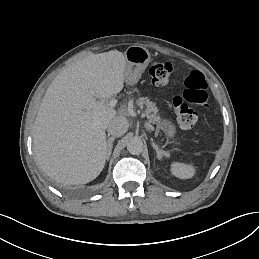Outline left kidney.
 <instances>
[{
  "label": "left kidney",
  "mask_w": 259,
  "mask_h": 259,
  "mask_svg": "<svg viewBox=\"0 0 259 259\" xmlns=\"http://www.w3.org/2000/svg\"><path fill=\"white\" fill-rule=\"evenodd\" d=\"M171 173L180 179L192 178L195 174V168L192 165L173 162L171 164Z\"/></svg>",
  "instance_id": "1"
}]
</instances>
